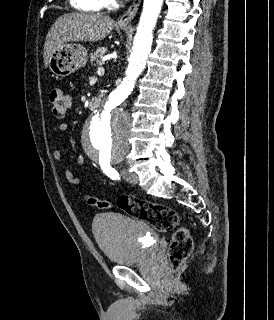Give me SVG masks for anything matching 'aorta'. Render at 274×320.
<instances>
[{
	"label": "aorta",
	"instance_id": "aorta-1",
	"mask_svg": "<svg viewBox=\"0 0 274 320\" xmlns=\"http://www.w3.org/2000/svg\"><path fill=\"white\" fill-rule=\"evenodd\" d=\"M162 4L163 0H144L125 77L83 129L84 151L95 162L101 159L120 161L128 152L130 117L123 104L145 68Z\"/></svg>",
	"mask_w": 274,
	"mask_h": 320
}]
</instances>
